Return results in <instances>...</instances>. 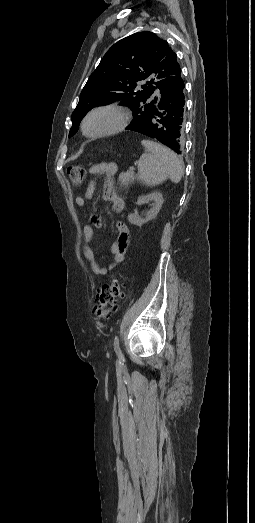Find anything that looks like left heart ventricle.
Masks as SVG:
<instances>
[{
  "mask_svg": "<svg viewBox=\"0 0 255 523\" xmlns=\"http://www.w3.org/2000/svg\"><path fill=\"white\" fill-rule=\"evenodd\" d=\"M117 123L116 116L107 112H100L89 119L86 129L90 133L101 132L114 127Z\"/></svg>",
  "mask_w": 255,
  "mask_h": 523,
  "instance_id": "1",
  "label": "left heart ventricle"
}]
</instances>
